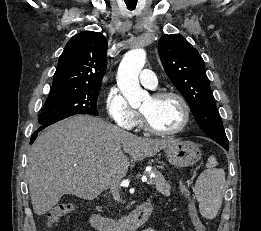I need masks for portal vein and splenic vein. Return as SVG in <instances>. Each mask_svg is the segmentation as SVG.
Returning <instances> with one entry per match:
<instances>
[{"instance_id":"1","label":"portal vein and splenic vein","mask_w":261,"mask_h":231,"mask_svg":"<svg viewBox=\"0 0 261 231\" xmlns=\"http://www.w3.org/2000/svg\"><path fill=\"white\" fill-rule=\"evenodd\" d=\"M154 177V175H152ZM144 182L148 185H152L153 184V180H152V177L150 179H145Z\"/></svg>"}]
</instances>
